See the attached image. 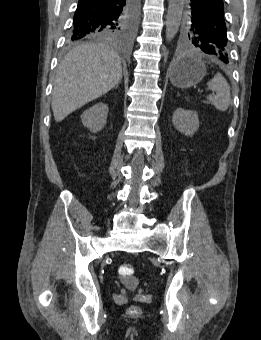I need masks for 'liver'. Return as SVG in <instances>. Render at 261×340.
<instances>
[{
  "mask_svg": "<svg viewBox=\"0 0 261 340\" xmlns=\"http://www.w3.org/2000/svg\"><path fill=\"white\" fill-rule=\"evenodd\" d=\"M121 79V59L113 48L100 43L73 48L56 73L51 104L55 121L106 94Z\"/></svg>",
  "mask_w": 261,
  "mask_h": 340,
  "instance_id": "6515ba94",
  "label": "liver"
}]
</instances>
